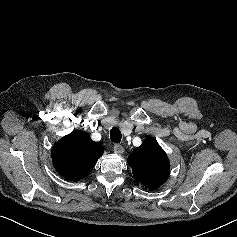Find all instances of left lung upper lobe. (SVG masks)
Instances as JSON below:
<instances>
[{
	"mask_svg": "<svg viewBox=\"0 0 237 237\" xmlns=\"http://www.w3.org/2000/svg\"><path fill=\"white\" fill-rule=\"evenodd\" d=\"M134 178L145 188L155 190L168 178L170 163L157 141L147 138L128 157Z\"/></svg>",
	"mask_w": 237,
	"mask_h": 237,
	"instance_id": "left-lung-upper-lobe-1",
	"label": "left lung upper lobe"
}]
</instances>
